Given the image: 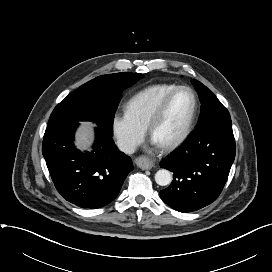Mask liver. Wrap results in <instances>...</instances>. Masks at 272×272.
<instances>
[{
	"label": "liver",
	"mask_w": 272,
	"mask_h": 272,
	"mask_svg": "<svg viewBox=\"0 0 272 272\" xmlns=\"http://www.w3.org/2000/svg\"><path fill=\"white\" fill-rule=\"evenodd\" d=\"M84 125L80 128L77 133V145L80 148H86L91 144L92 141V130L89 123H83Z\"/></svg>",
	"instance_id": "1"
}]
</instances>
